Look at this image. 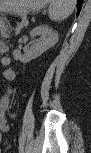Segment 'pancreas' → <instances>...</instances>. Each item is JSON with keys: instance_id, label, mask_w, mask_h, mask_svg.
I'll return each mask as SVG.
<instances>
[{"instance_id": "1", "label": "pancreas", "mask_w": 91, "mask_h": 153, "mask_svg": "<svg viewBox=\"0 0 91 153\" xmlns=\"http://www.w3.org/2000/svg\"><path fill=\"white\" fill-rule=\"evenodd\" d=\"M26 18L24 17L23 18V20L20 22V23H18V25H17V28H16V32L18 33L19 32V30L23 27V26H25L26 25Z\"/></svg>"}]
</instances>
